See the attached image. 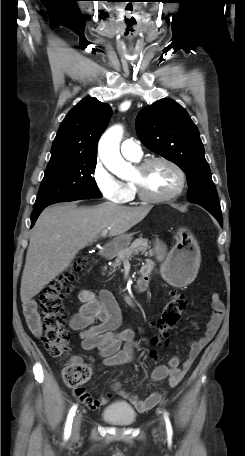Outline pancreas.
I'll return each mask as SVG.
<instances>
[{
    "label": "pancreas",
    "instance_id": "1",
    "mask_svg": "<svg viewBox=\"0 0 245 456\" xmlns=\"http://www.w3.org/2000/svg\"><path fill=\"white\" fill-rule=\"evenodd\" d=\"M150 242L145 238L135 239L129 246L116 249L111 252L110 258L116 257L113 268L120 267L122 261L138 255L139 253L152 256L153 250L150 249Z\"/></svg>",
    "mask_w": 245,
    "mask_h": 456
}]
</instances>
